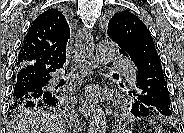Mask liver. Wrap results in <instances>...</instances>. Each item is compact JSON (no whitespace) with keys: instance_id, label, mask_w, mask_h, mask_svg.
I'll list each match as a JSON object with an SVG mask.
<instances>
[{"instance_id":"liver-1","label":"liver","mask_w":184,"mask_h":133,"mask_svg":"<svg viewBox=\"0 0 184 133\" xmlns=\"http://www.w3.org/2000/svg\"><path fill=\"white\" fill-rule=\"evenodd\" d=\"M8 133H66L59 114L36 110L14 116Z\"/></svg>"}]
</instances>
